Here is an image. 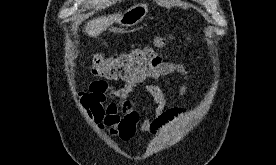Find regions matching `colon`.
I'll use <instances>...</instances> for the list:
<instances>
[{"label":"colon","mask_w":276,"mask_h":165,"mask_svg":"<svg viewBox=\"0 0 276 165\" xmlns=\"http://www.w3.org/2000/svg\"><path fill=\"white\" fill-rule=\"evenodd\" d=\"M176 40L174 36L157 37L151 46H145L118 56L106 57L101 54L92 55L91 71L94 75L109 80L128 81L146 77L155 67L163 62V50L168 42ZM186 42V35L179 36Z\"/></svg>","instance_id":"1"}]
</instances>
